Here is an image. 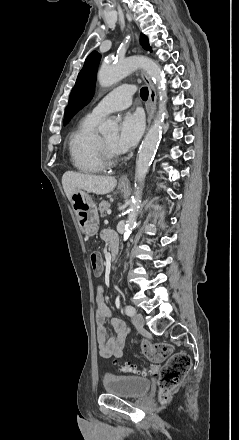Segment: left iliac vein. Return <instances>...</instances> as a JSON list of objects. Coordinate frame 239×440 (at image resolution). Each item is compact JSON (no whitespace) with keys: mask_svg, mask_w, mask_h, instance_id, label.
<instances>
[{"mask_svg":"<svg viewBox=\"0 0 239 440\" xmlns=\"http://www.w3.org/2000/svg\"><path fill=\"white\" fill-rule=\"evenodd\" d=\"M132 322L137 329H143L144 327V318L141 314H136L132 318Z\"/></svg>","mask_w":239,"mask_h":440,"instance_id":"left-iliac-vein-1","label":"left iliac vein"}]
</instances>
